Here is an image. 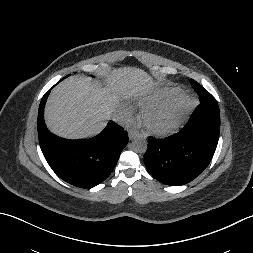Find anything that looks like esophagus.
Segmentation results:
<instances>
[{
  "label": "esophagus",
  "instance_id": "1",
  "mask_svg": "<svg viewBox=\"0 0 253 253\" xmlns=\"http://www.w3.org/2000/svg\"><path fill=\"white\" fill-rule=\"evenodd\" d=\"M137 135H138V132L136 130H129L128 131V137H129L130 140H132Z\"/></svg>",
  "mask_w": 253,
  "mask_h": 253
}]
</instances>
